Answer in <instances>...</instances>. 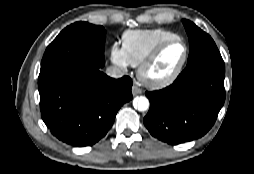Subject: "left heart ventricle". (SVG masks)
<instances>
[{"label":"left heart ventricle","instance_id":"b2bd125f","mask_svg":"<svg viewBox=\"0 0 254 174\" xmlns=\"http://www.w3.org/2000/svg\"><path fill=\"white\" fill-rule=\"evenodd\" d=\"M184 56V46L181 42H175L167 46L160 54L157 61L149 70V75L161 78L172 73L180 64Z\"/></svg>","mask_w":254,"mask_h":174}]
</instances>
